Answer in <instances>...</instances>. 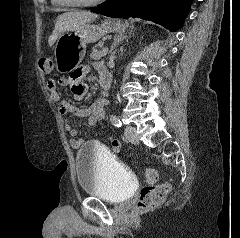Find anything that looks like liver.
Returning <instances> with one entry per match:
<instances>
[{
	"label": "liver",
	"mask_w": 240,
	"mask_h": 238,
	"mask_svg": "<svg viewBox=\"0 0 240 238\" xmlns=\"http://www.w3.org/2000/svg\"><path fill=\"white\" fill-rule=\"evenodd\" d=\"M96 18L97 14L87 11H72L61 14L58 16L55 29L49 37V46H52L62 33L78 30Z\"/></svg>",
	"instance_id": "obj_1"
}]
</instances>
